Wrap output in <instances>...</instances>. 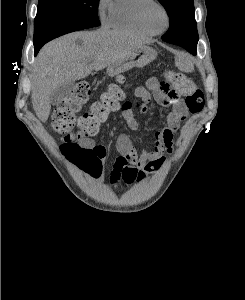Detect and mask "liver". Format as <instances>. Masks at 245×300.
<instances>
[{
  "instance_id": "liver-1",
  "label": "liver",
  "mask_w": 245,
  "mask_h": 300,
  "mask_svg": "<svg viewBox=\"0 0 245 300\" xmlns=\"http://www.w3.org/2000/svg\"><path fill=\"white\" fill-rule=\"evenodd\" d=\"M146 43L136 35L107 28L74 32L47 43L36 58L32 77L31 98L37 117L47 121L51 94L57 87L100 71Z\"/></svg>"
}]
</instances>
